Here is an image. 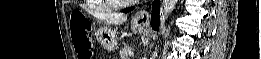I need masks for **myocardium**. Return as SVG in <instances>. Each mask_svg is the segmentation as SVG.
Listing matches in <instances>:
<instances>
[{
	"mask_svg": "<svg viewBox=\"0 0 261 59\" xmlns=\"http://www.w3.org/2000/svg\"><path fill=\"white\" fill-rule=\"evenodd\" d=\"M114 4L116 5V6H124V5H126V4H128V2L127 1H114Z\"/></svg>",
	"mask_w": 261,
	"mask_h": 59,
	"instance_id": "myocardium-1",
	"label": "myocardium"
}]
</instances>
